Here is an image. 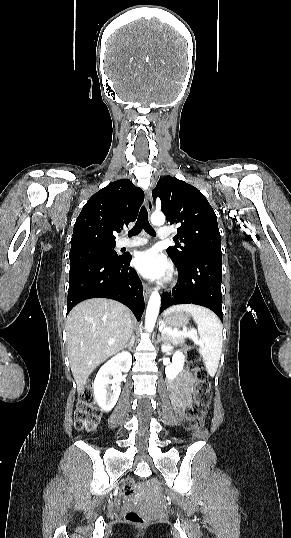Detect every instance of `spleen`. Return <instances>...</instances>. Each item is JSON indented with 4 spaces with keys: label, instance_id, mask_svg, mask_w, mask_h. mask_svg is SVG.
Returning <instances> with one entry per match:
<instances>
[{
    "label": "spleen",
    "instance_id": "1",
    "mask_svg": "<svg viewBox=\"0 0 291 538\" xmlns=\"http://www.w3.org/2000/svg\"><path fill=\"white\" fill-rule=\"evenodd\" d=\"M184 311L192 315L198 326V334L203 345L200 354L203 357L207 372L215 375L222 352V325L217 316L209 309L193 305L179 304L168 308L164 314Z\"/></svg>",
    "mask_w": 291,
    "mask_h": 538
}]
</instances>
